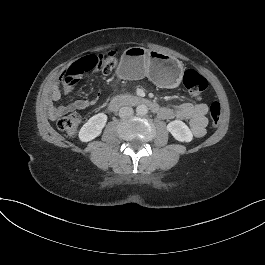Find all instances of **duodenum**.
Returning <instances> with one entry per match:
<instances>
[{
	"label": "duodenum",
	"mask_w": 265,
	"mask_h": 265,
	"mask_svg": "<svg viewBox=\"0 0 265 265\" xmlns=\"http://www.w3.org/2000/svg\"><path fill=\"white\" fill-rule=\"evenodd\" d=\"M147 106L152 112L159 116L163 114V108L155 101L133 95H121L114 97L109 103V109L116 111L123 106Z\"/></svg>",
	"instance_id": "1"
}]
</instances>
